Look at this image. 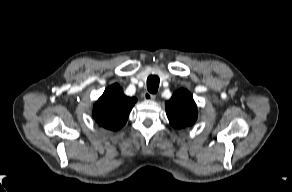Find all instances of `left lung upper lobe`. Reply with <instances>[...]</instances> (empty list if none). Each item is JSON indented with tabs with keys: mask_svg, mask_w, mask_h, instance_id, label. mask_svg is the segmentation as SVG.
<instances>
[{
	"mask_svg": "<svg viewBox=\"0 0 292 192\" xmlns=\"http://www.w3.org/2000/svg\"><path fill=\"white\" fill-rule=\"evenodd\" d=\"M165 106L169 122L174 128L191 126L197 119V106L185 89L177 90Z\"/></svg>",
	"mask_w": 292,
	"mask_h": 192,
	"instance_id": "5c2ea615",
	"label": "left lung upper lobe"
}]
</instances>
